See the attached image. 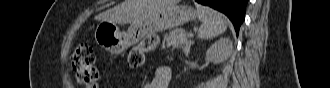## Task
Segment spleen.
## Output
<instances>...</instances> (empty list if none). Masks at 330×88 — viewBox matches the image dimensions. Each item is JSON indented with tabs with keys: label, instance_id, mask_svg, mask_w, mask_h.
<instances>
[{
	"label": "spleen",
	"instance_id": "obj_1",
	"mask_svg": "<svg viewBox=\"0 0 330 88\" xmlns=\"http://www.w3.org/2000/svg\"><path fill=\"white\" fill-rule=\"evenodd\" d=\"M197 15L202 22L198 37L201 39H211L226 31L228 19L222 13L202 5L197 6Z\"/></svg>",
	"mask_w": 330,
	"mask_h": 88
}]
</instances>
